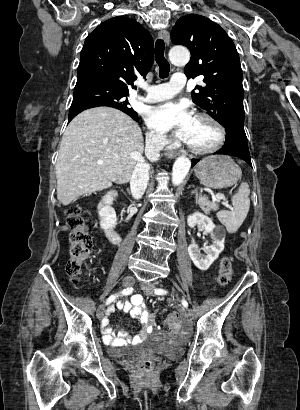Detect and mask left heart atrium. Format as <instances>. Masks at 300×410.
Segmentation results:
<instances>
[{"label": "left heart atrium", "mask_w": 300, "mask_h": 410, "mask_svg": "<svg viewBox=\"0 0 300 410\" xmlns=\"http://www.w3.org/2000/svg\"><path fill=\"white\" fill-rule=\"evenodd\" d=\"M196 117L184 103L167 102L154 107L148 117L149 126L158 132H172L188 143Z\"/></svg>", "instance_id": "left-heart-atrium-1"}]
</instances>
